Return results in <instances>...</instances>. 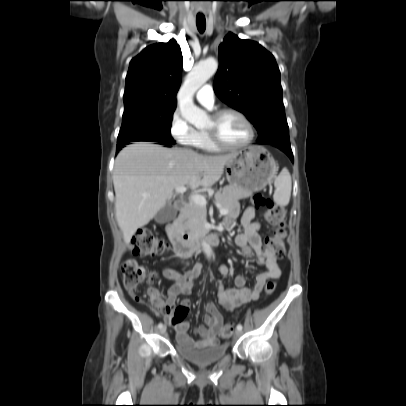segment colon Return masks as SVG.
Here are the masks:
<instances>
[{"label":"colon","instance_id":"5ec220e1","mask_svg":"<svg viewBox=\"0 0 406 406\" xmlns=\"http://www.w3.org/2000/svg\"><path fill=\"white\" fill-rule=\"evenodd\" d=\"M252 202L257 207L266 208L265 218L267 222L276 227L274 233L268 239V246L274 252L276 258H281L284 254V239L286 236L284 230L285 212L283 208L275 206L273 201L262 195L256 194L252 198ZM132 252L135 256L148 257L165 253L169 249V245L157 238L151 229L143 228L136 231L130 242ZM122 283L124 288L134 293L139 286L144 283L155 284L158 281L156 272L149 270L145 266L139 264L135 259H125L121 265ZM276 283L269 281L265 286V294L267 296L274 293ZM188 313L184 307H178L172 318V322L182 321ZM235 327L234 321L225 323L220 331L221 338H228Z\"/></svg>","mask_w":406,"mask_h":406}]
</instances>
